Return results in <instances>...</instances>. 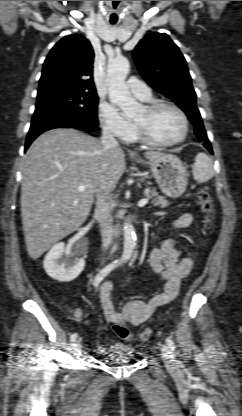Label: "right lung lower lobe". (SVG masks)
<instances>
[{
    "mask_svg": "<svg viewBox=\"0 0 242 416\" xmlns=\"http://www.w3.org/2000/svg\"><path fill=\"white\" fill-rule=\"evenodd\" d=\"M98 125L85 124L81 121L73 120L67 117H45L33 122L27 135L25 151L31 142L43 132L54 128H77L84 131H92Z\"/></svg>",
    "mask_w": 242,
    "mask_h": 416,
    "instance_id": "obj_1",
    "label": "right lung lower lobe"
}]
</instances>
